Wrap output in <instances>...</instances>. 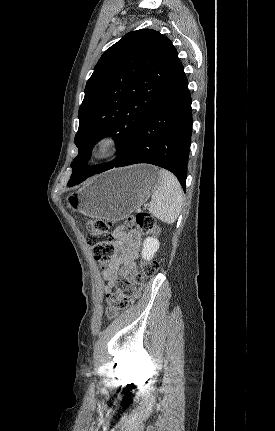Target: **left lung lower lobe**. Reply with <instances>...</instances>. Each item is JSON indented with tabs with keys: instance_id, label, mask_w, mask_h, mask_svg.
<instances>
[{
	"instance_id": "0a47b994",
	"label": "left lung lower lobe",
	"mask_w": 275,
	"mask_h": 431,
	"mask_svg": "<svg viewBox=\"0 0 275 431\" xmlns=\"http://www.w3.org/2000/svg\"><path fill=\"white\" fill-rule=\"evenodd\" d=\"M191 103L188 80L179 63L168 87L126 152L101 172L115 167L149 163L171 171L185 190L193 124ZM87 177L89 175L81 173L74 175L68 185H77Z\"/></svg>"
}]
</instances>
